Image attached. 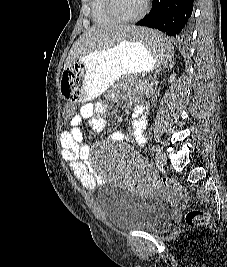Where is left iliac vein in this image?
Instances as JSON below:
<instances>
[{
	"label": "left iliac vein",
	"mask_w": 227,
	"mask_h": 267,
	"mask_svg": "<svg viewBox=\"0 0 227 267\" xmlns=\"http://www.w3.org/2000/svg\"><path fill=\"white\" fill-rule=\"evenodd\" d=\"M156 163L160 167H164L166 165V155L161 149L157 150Z\"/></svg>",
	"instance_id": "1"
}]
</instances>
